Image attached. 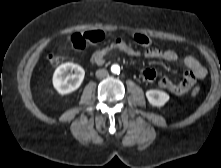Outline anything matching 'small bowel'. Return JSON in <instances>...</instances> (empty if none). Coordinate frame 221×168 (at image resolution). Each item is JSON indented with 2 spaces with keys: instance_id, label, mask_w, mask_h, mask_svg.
I'll use <instances>...</instances> for the list:
<instances>
[{
  "instance_id": "c3829d8e",
  "label": "small bowel",
  "mask_w": 221,
  "mask_h": 168,
  "mask_svg": "<svg viewBox=\"0 0 221 168\" xmlns=\"http://www.w3.org/2000/svg\"><path fill=\"white\" fill-rule=\"evenodd\" d=\"M113 52H121L127 56L136 57L140 52L134 49L131 45L121 39H117L112 43L102 47L101 49L93 52L91 56L92 62L101 65L105 62L106 57ZM145 56L152 59H163L168 62L178 60V55L173 50H161L158 48L150 47L145 51ZM182 62L187 68L183 80L174 82L168 77H162L158 81V85L169 91L171 94L181 96L187 93L197 80H201L206 76V69L201 63L193 56L187 55L182 57ZM141 78L146 82H153L156 80L157 73L152 68L143 69L140 72Z\"/></svg>"
}]
</instances>
